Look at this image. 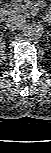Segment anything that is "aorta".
Returning a JSON list of instances; mask_svg holds the SVG:
<instances>
[{"instance_id": "762f6f07", "label": "aorta", "mask_w": 51, "mask_h": 153, "mask_svg": "<svg viewBox=\"0 0 51 153\" xmlns=\"http://www.w3.org/2000/svg\"><path fill=\"white\" fill-rule=\"evenodd\" d=\"M43 33V25L38 22L29 24L25 30V36L30 40L39 39L43 35Z\"/></svg>"}]
</instances>
